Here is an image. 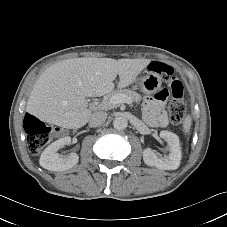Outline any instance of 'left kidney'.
I'll use <instances>...</instances> for the list:
<instances>
[{"label":"left kidney","instance_id":"left-kidney-1","mask_svg":"<svg viewBox=\"0 0 227 227\" xmlns=\"http://www.w3.org/2000/svg\"><path fill=\"white\" fill-rule=\"evenodd\" d=\"M160 137L168 143L169 155L158 157L157 154L147 148L143 151V160L148 166H154L162 170H175L181 161V147L176 134L169 131H161Z\"/></svg>","mask_w":227,"mask_h":227}]
</instances>
